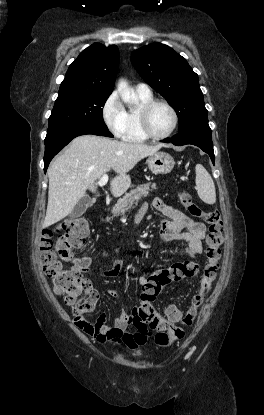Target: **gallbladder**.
Listing matches in <instances>:
<instances>
[{
    "instance_id": "obj_1",
    "label": "gallbladder",
    "mask_w": 264,
    "mask_h": 415,
    "mask_svg": "<svg viewBox=\"0 0 264 415\" xmlns=\"http://www.w3.org/2000/svg\"><path fill=\"white\" fill-rule=\"evenodd\" d=\"M92 205L93 200L89 196H83L70 213V218H78L82 216L87 208Z\"/></svg>"
}]
</instances>
